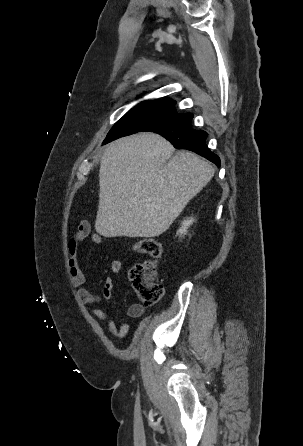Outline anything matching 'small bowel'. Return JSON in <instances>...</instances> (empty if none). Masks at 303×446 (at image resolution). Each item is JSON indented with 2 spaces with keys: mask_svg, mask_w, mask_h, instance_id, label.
Returning <instances> with one entry per match:
<instances>
[{
  "mask_svg": "<svg viewBox=\"0 0 303 446\" xmlns=\"http://www.w3.org/2000/svg\"><path fill=\"white\" fill-rule=\"evenodd\" d=\"M90 237L91 241L95 244L102 243V236L96 232H92L91 226L87 221H82L77 227L75 235L69 242V269L71 274V281L74 287H79L78 296L83 304H95L102 301H110L112 298L114 281L111 277H107L103 284L101 294H97L87 287L93 281V276H86L82 271L78 260L79 244L85 238ZM123 269V264L119 260H115L111 263V271L115 274L120 273ZM145 312V307L141 304H131L127 309V315L130 318H139ZM91 314L100 320L107 322V331L110 336L117 337L119 339H125L129 333V325L126 322L118 325L109 314L100 308H94L91 310Z\"/></svg>",
  "mask_w": 303,
  "mask_h": 446,
  "instance_id": "c3829d8e",
  "label": "small bowel"
}]
</instances>
